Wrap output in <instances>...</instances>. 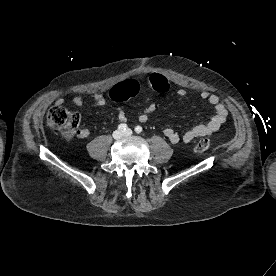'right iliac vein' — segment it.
Masks as SVG:
<instances>
[{"mask_svg":"<svg viewBox=\"0 0 276 276\" xmlns=\"http://www.w3.org/2000/svg\"><path fill=\"white\" fill-rule=\"evenodd\" d=\"M123 133L120 130H116L113 132V138L114 139H120L122 137Z\"/></svg>","mask_w":276,"mask_h":276,"instance_id":"obj_1","label":"right iliac vein"}]
</instances>
